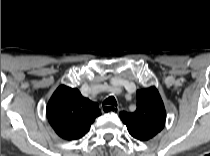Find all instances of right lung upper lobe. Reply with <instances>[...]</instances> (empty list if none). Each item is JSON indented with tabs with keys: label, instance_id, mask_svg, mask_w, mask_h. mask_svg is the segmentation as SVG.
<instances>
[{
	"label": "right lung upper lobe",
	"instance_id": "obj_1",
	"mask_svg": "<svg viewBox=\"0 0 210 156\" xmlns=\"http://www.w3.org/2000/svg\"><path fill=\"white\" fill-rule=\"evenodd\" d=\"M47 118L61 138L76 140L85 135L101 114L96 102L81 95L78 89L61 85L47 105Z\"/></svg>",
	"mask_w": 210,
	"mask_h": 156
}]
</instances>
